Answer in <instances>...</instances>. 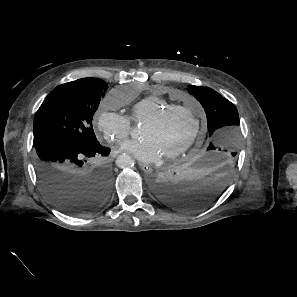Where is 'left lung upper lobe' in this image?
Segmentation results:
<instances>
[{"instance_id": "5c2ea615", "label": "left lung upper lobe", "mask_w": 297, "mask_h": 297, "mask_svg": "<svg viewBox=\"0 0 297 297\" xmlns=\"http://www.w3.org/2000/svg\"><path fill=\"white\" fill-rule=\"evenodd\" d=\"M188 91L202 104L207 116L208 151H218L236 159L239 146V116L235 106L208 87L191 85Z\"/></svg>"}]
</instances>
